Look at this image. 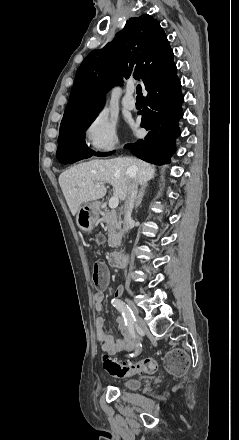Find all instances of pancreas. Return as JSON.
I'll use <instances>...</instances> for the list:
<instances>
[{"label": "pancreas", "mask_w": 239, "mask_h": 440, "mask_svg": "<svg viewBox=\"0 0 239 440\" xmlns=\"http://www.w3.org/2000/svg\"><path fill=\"white\" fill-rule=\"evenodd\" d=\"M104 210L105 212L101 214V220L105 222L108 230V246L116 248V246L121 244L123 234L122 220L115 210H108V208H104Z\"/></svg>", "instance_id": "cf45deb5"}]
</instances>
